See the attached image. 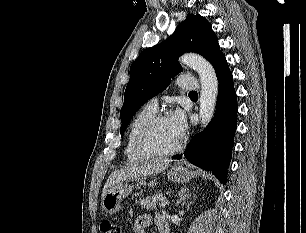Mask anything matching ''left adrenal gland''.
I'll list each match as a JSON object with an SVG mask.
<instances>
[{"mask_svg": "<svg viewBox=\"0 0 306 233\" xmlns=\"http://www.w3.org/2000/svg\"><path fill=\"white\" fill-rule=\"evenodd\" d=\"M186 191H187L186 187L181 188V190L179 191V194H178L179 198H178V200L176 202V206H179L182 202L184 203L185 200L188 199L191 196V194H188V195L185 194Z\"/></svg>", "mask_w": 306, "mask_h": 233, "instance_id": "a2214340", "label": "left adrenal gland"}]
</instances>
